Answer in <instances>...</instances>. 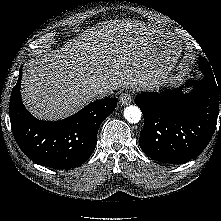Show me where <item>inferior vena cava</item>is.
<instances>
[{
  "mask_svg": "<svg viewBox=\"0 0 221 221\" xmlns=\"http://www.w3.org/2000/svg\"><path fill=\"white\" fill-rule=\"evenodd\" d=\"M110 91L105 89V88H98L93 90L90 95L92 98H96V99H102L104 97L109 96Z\"/></svg>",
  "mask_w": 221,
  "mask_h": 221,
  "instance_id": "inferior-vena-cava-1",
  "label": "inferior vena cava"
}]
</instances>
